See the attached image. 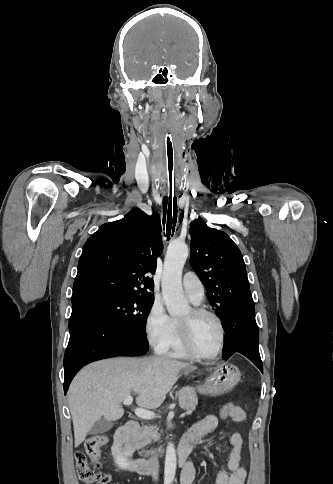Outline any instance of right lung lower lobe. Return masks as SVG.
<instances>
[{"instance_id":"right-lung-lower-lobe-1","label":"right lung lower lobe","mask_w":333,"mask_h":484,"mask_svg":"<svg viewBox=\"0 0 333 484\" xmlns=\"http://www.w3.org/2000/svg\"><path fill=\"white\" fill-rule=\"evenodd\" d=\"M70 339L64 356V392L75 374L86 364L113 356H138L149 349L148 341L133 336L112 321L99 307L72 302Z\"/></svg>"}]
</instances>
